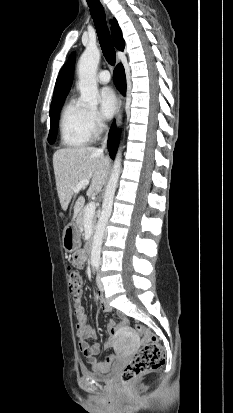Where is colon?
I'll list each match as a JSON object with an SVG mask.
<instances>
[{
    "label": "colon",
    "instance_id": "5ec220e1",
    "mask_svg": "<svg viewBox=\"0 0 233 413\" xmlns=\"http://www.w3.org/2000/svg\"><path fill=\"white\" fill-rule=\"evenodd\" d=\"M82 282V275L71 265L68 272L70 291L72 293L78 291ZM135 329L142 336L144 345L122 370L121 380L124 383H129L143 373L159 368L165 359L164 349L157 342L155 335L142 325H136Z\"/></svg>",
    "mask_w": 233,
    "mask_h": 413
}]
</instances>
